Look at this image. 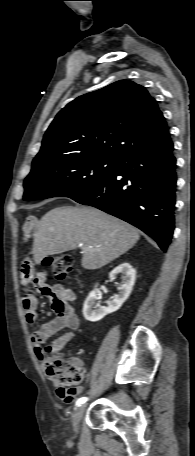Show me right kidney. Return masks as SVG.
Wrapping results in <instances>:
<instances>
[{"label":"right kidney","mask_w":195,"mask_h":456,"mask_svg":"<svg viewBox=\"0 0 195 456\" xmlns=\"http://www.w3.org/2000/svg\"><path fill=\"white\" fill-rule=\"evenodd\" d=\"M121 275L122 284L118 287V294L109 303L108 307L100 305V298L97 289L92 290L86 298L83 306V316L86 320L96 322L104 318L107 314L117 311L131 294L136 279V271L129 263H122L114 268L109 277L115 279ZM117 284V283H116Z\"/></svg>","instance_id":"right-kidney-1"}]
</instances>
